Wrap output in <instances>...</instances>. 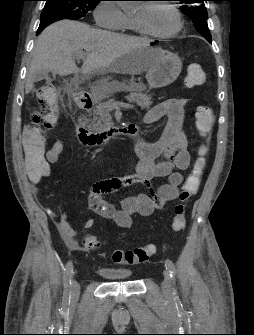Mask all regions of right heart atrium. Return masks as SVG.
I'll list each match as a JSON object with an SVG mask.
<instances>
[{"instance_id":"1","label":"right heart atrium","mask_w":254,"mask_h":335,"mask_svg":"<svg viewBox=\"0 0 254 335\" xmlns=\"http://www.w3.org/2000/svg\"><path fill=\"white\" fill-rule=\"evenodd\" d=\"M96 24L110 30L125 28L128 16L114 1H101L94 10Z\"/></svg>"}]
</instances>
